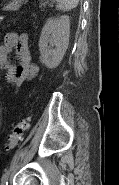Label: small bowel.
<instances>
[{
  "label": "small bowel",
  "mask_w": 119,
  "mask_h": 185,
  "mask_svg": "<svg viewBox=\"0 0 119 185\" xmlns=\"http://www.w3.org/2000/svg\"><path fill=\"white\" fill-rule=\"evenodd\" d=\"M12 50H15L17 65L12 64L8 59ZM0 68L5 71L7 83L17 88L36 76L38 67L32 60L28 36L25 33L8 32L5 35L4 42L0 46Z\"/></svg>",
  "instance_id": "small-bowel-1"
}]
</instances>
